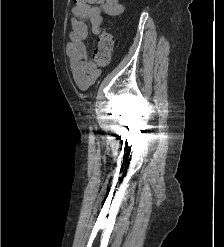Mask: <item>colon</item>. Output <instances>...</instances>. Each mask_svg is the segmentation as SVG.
Here are the masks:
<instances>
[{"label": "colon", "mask_w": 224, "mask_h": 247, "mask_svg": "<svg viewBox=\"0 0 224 247\" xmlns=\"http://www.w3.org/2000/svg\"><path fill=\"white\" fill-rule=\"evenodd\" d=\"M79 4L80 0H73ZM114 48V38L109 31H104L98 38L97 47L93 53V62L98 67L106 66L111 59Z\"/></svg>", "instance_id": "obj_1"}]
</instances>
